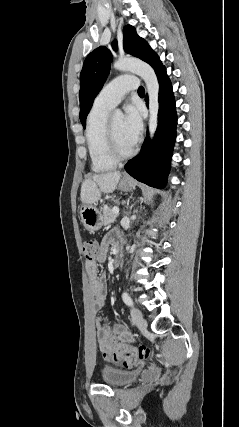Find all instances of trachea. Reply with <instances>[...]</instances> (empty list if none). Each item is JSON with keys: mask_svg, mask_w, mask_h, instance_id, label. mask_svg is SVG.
Masks as SVG:
<instances>
[{"mask_svg": "<svg viewBox=\"0 0 239 427\" xmlns=\"http://www.w3.org/2000/svg\"><path fill=\"white\" fill-rule=\"evenodd\" d=\"M138 93L139 94H144L145 93V90H144V88L142 86L139 87Z\"/></svg>", "mask_w": 239, "mask_h": 427, "instance_id": "trachea-1", "label": "trachea"}]
</instances>
